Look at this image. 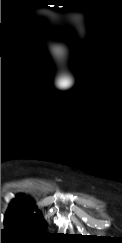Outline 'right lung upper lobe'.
Here are the masks:
<instances>
[{
  "instance_id": "cb5924a9",
  "label": "right lung upper lobe",
  "mask_w": 122,
  "mask_h": 243,
  "mask_svg": "<svg viewBox=\"0 0 122 243\" xmlns=\"http://www.w3.org/2000/svg\"><path fill=\"white\" fill-rule=\"evenodd\" d=\"M13 202L21 203V204H25V205L34 207L33 200L30 197H28L24 194L17 195L16 199H14Z\"/></svg>"
}]
</instances>
